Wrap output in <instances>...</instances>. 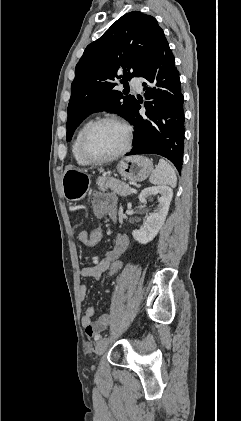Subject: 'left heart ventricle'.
<instances>
[{"instance_id":"left-heart-ventricle-1","label":"left heart ventricle","mask_w":241,"mask_h":421,"mask_svg":"<svg viewBox=\"0 0 241 421\" xmlns=\"http://www.w3.org/2000/svg\"><path fill=\"white\" fill-rule=\"evenodd\" d=\"M125 142V130L115 123H103L89 135L87 150L95 157H105L117 152Z\"/></svg>"}]
</instances>
